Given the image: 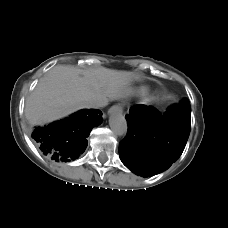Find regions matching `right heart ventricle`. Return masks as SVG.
Returning <instances> with one entry per match:
<instances>
[{
    "instance_id": "e07e8e85",
    "label": "right heart ventricle",
    "mask_w": 228,
    "mask_h": 228,
    "mask_svg": "<svg viewBox=\"0 0 228 228\" xmlns=\"http://www.w3.org/2000/svg\"><path fill=\"white\" fill-rule=\"evenodd\" d=\"M139 92L145 93V92H146V89H145V88H140V89H139Z\"/></svg>"
}]
</instances>
